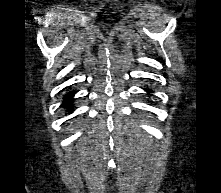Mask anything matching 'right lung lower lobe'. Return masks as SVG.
I'll list each match as a JSON object with an SVG mask.
<instances>
[{
	"label": "right lung lower lobe",
	"instance_id": "right-lung-lower-lobe-1",
	"mask_svg": "<svg viewBox=\"0 0 221 193\" xmlns=\"http://www.w3.org/2000/svg\"><path fill=\"white\" fill-rule=\"evenodd\" d=\"M73 93L68 92L65 94L63 98L62 106L66 109L67 113H71L73 111Z\"/></svg>",
	"mask_w": 221,
	"mask_h": 193
}]
</instances>
